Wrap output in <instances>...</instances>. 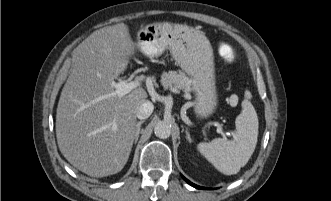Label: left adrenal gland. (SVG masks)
Listing matches in <instances>:
<instances>
[{"instance_id":"obj_1","label":"left adrenal gland","mask_w":331,"mask_h":201,"mask_svg":"<svg viewBox=\"0 0 331 201\" xmlns=\"http://www.w3.org/2000/svg\"><path fill=\"white\" fill-rule=\"evenodd\" d=\"M186 138H187V140L191 143L192 142V139H191V137H190V133H189V131H188V129L186 128Z\"/></svg>"}]
</instances>
